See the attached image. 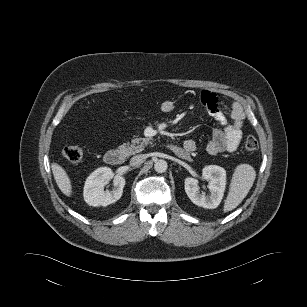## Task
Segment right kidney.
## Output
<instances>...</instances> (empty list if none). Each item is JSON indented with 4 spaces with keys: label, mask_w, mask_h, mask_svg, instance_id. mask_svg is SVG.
Wrapping results in <instances>:
<instances>
[{
    "label": "right kidney",
    "mask_w": 307,
    "mask_h": 307,
    "mask_svg": "<svg viewBox=\"0 0 307 307\" xmlns=\"http://www.w3.org/2000/svg\"><path fill=\"white\" fill-rule=\"evenodd\" d=\"M114 177L112 191H104V186ZM125 179L122 176H114L108 167H100L92 172L84 185V200L90 206H107L119 200L123 193Z\"/></svg>",
    "instance_id": "1"
}]
</instances>
